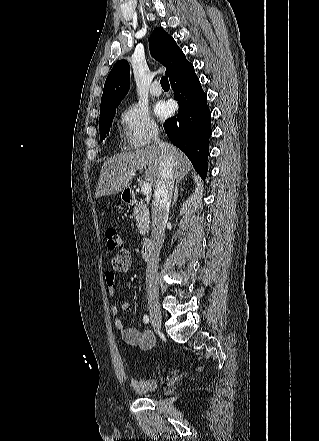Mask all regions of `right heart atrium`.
I'll list each match as a JSON object with an SVG mask.
<instances>
[{
  "label": "right heart atrium",
  "mask_w": 319,
  "mask_h": 441,
  "mask_svg": "<svg viewBox=\"0 0 319 441\" xmlns=\"http://www.w3.org/2000/svg\"><path fill=\"white\" fill-rule=\"evenodd\" d=\"M121 141L125 149L139 150L158 137V126L145 106L132 103L120 113Z\"/></svg>",
  "instance_id": "d8ad5b80"
}]
</instances>
